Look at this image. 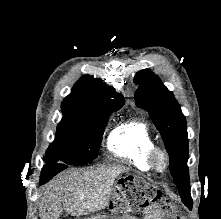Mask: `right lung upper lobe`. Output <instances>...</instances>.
<instances>
[{
    "label": "right lung upper lobe",
    "instance_id": "cb5924a9",
    "mask_svg": "<svg viewBox=\"0 0 221 219\" xmlns=\"http://www.w3.org/2000/svg\"><path fill=\"white\" fill-rule=\"evenodd\" d=\"M124 102L123 96L107 87L101 79L84 75L63 100L61 109L65 117L99 119L119 110Z\"/></svg>",
    "mask_w": 221,
    "mask_h": 219
}]
</instances>
